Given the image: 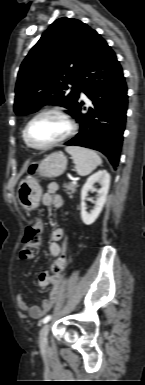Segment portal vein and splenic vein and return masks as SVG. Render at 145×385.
<instances>
[{
	"label": "portal vein and splenic vein",
	"mask_w": 145,
	"mask_h": 385,
	"mask_svg": "<svg viewBox=\"0 0 145 385\" xmlns=\"http://www.w3.org/2000/svg\"><path fill=\"white\" fill-rule=\"evenodd\" d=\"M73 184H77V182H76V181H74V182H73Z\"/></svg>",
	"instance_id": "portal-vein-and-splenic-vein-1"
}]
</instances>
